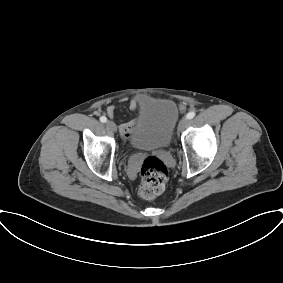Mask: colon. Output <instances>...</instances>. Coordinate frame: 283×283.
<instances>
[{"instance_id":"colon-1","label":"colon","mask_w":283,"mask_h":283,"mask_svg":"<svg viewBox=\"0 0 283 283\" xmlns=\"http://www.w3.org/2000/svg\"><path fill=\"white\" fill-rule=\"evenodd\" d=\"M168 180V169L156 157H147L140 170L139 195L143 199H153L160 195Z\"/></svg>"}]
</instances>
